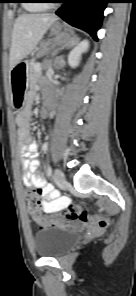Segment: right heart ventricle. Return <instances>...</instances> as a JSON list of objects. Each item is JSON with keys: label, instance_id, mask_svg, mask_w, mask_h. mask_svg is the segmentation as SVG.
Returning a JSON list of instances; mask_svg holds the SVG:
<instances>
[{"label": "right heart ventricle", "instance_id": "1", "mask_svg": "<svg viewBox=\"0 0 136 296\" xmlns=\"http://www.w3.org/2000/svg\"><path fill=\"white\" fill-rule=\"evenodd\" d=\"M41 0H28L24 4V7L28 11H39L42 9H45V4L44 3H38Z\"/></svg>", "mask_w": 136, "mask_h": 296}]
</instances>
